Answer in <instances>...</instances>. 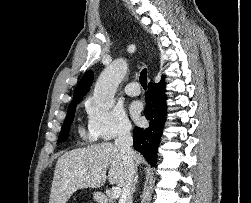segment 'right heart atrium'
<instances>
[{
	"label": "right heart atrium",
	"instance_id": "1",
	"mask_svg": "<svg viewBox=\"0 0 251 203\" xmlns=\"http://www.w3.org/2000/svg\"><path fill=\"white\" fill-rule=\"evenodd\" d=\"M86 107L89 132L95 138L110 141L130 132V121L121 108L103 109L94 100H90Z\"/></svg>",
	"mask_w": 251,
	"mask_h": 203
}]
</instances>
